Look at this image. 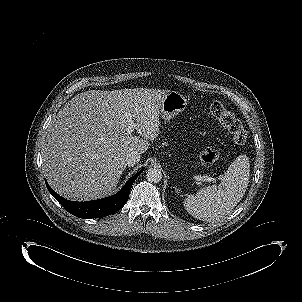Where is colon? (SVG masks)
<instances>
[{"instance_id":"5ec220e1","label":"colon","mask_w":302,"mask_h":302,"mask_svg":"<svg viewBox=\"0 0 302 302\" xmlns=\"http://www.w3.org/2000/svg\"><path fill=\"white\" fill-rule=\"evenodd\" d=\"M212 115L219 120V122L229 130L232 134L235 143L242 145L247 140V132L241 122L235 117L233 113L221 102H213L210 106ZM219 156V152L214 147L205 148L200 155L202 163L210 165L214 163Z\"/></svg>"}]
</instances>
